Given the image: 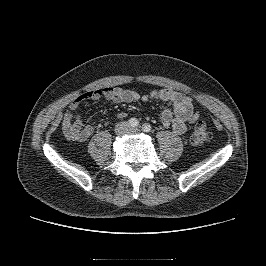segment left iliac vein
I'll return each mask as SVG.
<instances>
[{"mask_svg": "<svg viewBox=\"0 0 266 266\" xmlns=\"http://www.w3.org/2000/svg\"><path fill=\"white\" fill-rule=\"evenodd\" d=\"M138 131H139L138 129H135V128H129L128 131H127V133H132V134H134V133H137Z\"/></svg>", "mask_w": 266, "mask_h": 266, "instance_id": "1", "label": "left iliac vein"}]
</instances>
